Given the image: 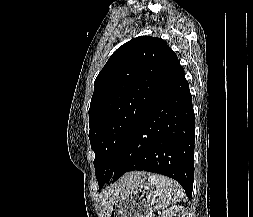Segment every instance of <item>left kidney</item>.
Returning <instances> with one entry per match:
<instances>
[{
    "label": "left kidney",
    "instance_id": "5707ae66",
    "mask_svg": "<svg viewBox=\"0 0 253 217\" xmlns=\"http://www.w3.org/2000/svg\"><path fill=\"white\" fill-rule=\"evenodd\" d=\"M161 217H188L187 210L183 206H174L163 211Z\"/></svg>",
    "mask_w": 253,
    "mask_h": 217
}]
</instances>
